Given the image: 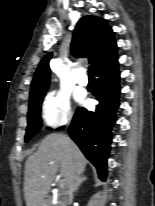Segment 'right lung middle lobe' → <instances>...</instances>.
<instances>
[{
    "mask_svg": "<svg viewBox=\"0 0 155 206\" xmlns=\"http://www.w3.org/2000/svg\"><path fill=\"white\" fill-rule=\"evenodd\" d=\"M47 90H44L35 96L30 97L29 111H28V126L26 129L25 142H28L35 134H37L41 127V104Z\"/></svg>",
    "mask_w": 155,
    "mask_h": 206,
    "instance_id": "right-lung-middle-lobe-1",
    "label": "right lung middle lobe"
}]
</instances>
